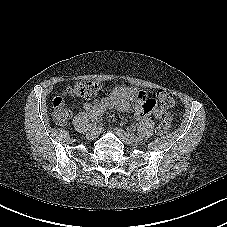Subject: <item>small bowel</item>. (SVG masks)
<instances>
[{"mask_svg": "<svg viewBox=\"0 0 227 227\" xmlns=\"http://www.w3.org/2000/svg\"><path fill=\"white\" fill-rule=\"evenodd\" d=\"M132 105L139 118H145L149 115H154L157 118L165 116L158 109L154 100L149 99L144 92L125 86L115 87L108 97L85 104V110L91 117H94L111 108L124 112Z\"/></svg>", "mask_w": 227, "mask_h": 227, "instance_id": "obj_1", "label": "small bowel"}]
</instances>
